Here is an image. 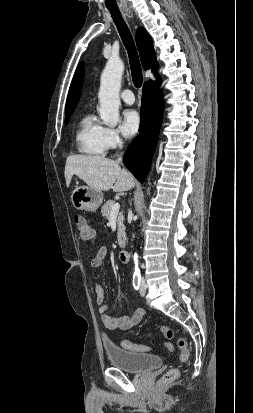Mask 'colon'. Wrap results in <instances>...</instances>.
<instances>
[{
  "label": "colon",
  "mask_w": 253,
  "mask_h": 413,
  "mask_svg": "<svg viewBox=\"0 0 253 413\" xmlns=\"http://www.w3.org/2000/svg\"><path fill=\"white\" fill-rule=\"evenodd\" d=\"M74 221L77 226L80 239L83 241H87V242L92 241L93 233H92L90 226L84 219V217H82L81 215H75ZM160 331L163 334V336L168 340H172L175 337L174 331L168 326H161ZM176 344L180 351V360L183 362L187 361L190 356L187 341L184 338L180 337L177 339ZM121 345L125 349L138 351V352H147L150 350L149 346L134 344L128 340L122 341ZM166 348L170 351L173 350V346L171 343H167ZM178 374H179L178 369L176 368L170 369L166 374H164L161 381L162 383H170L178 377Z\"/></svg>",
  "instance_id": "colon-1"
}]
</instances>
